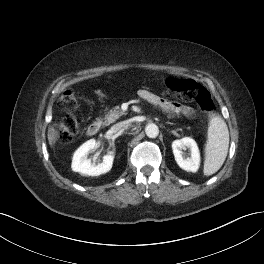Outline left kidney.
I'll list each match as a JSON object with an SVG mask.
<instances>
[{
    "label": "left kidney",
    "mask_w": 264,
    "mask_h": 264,
    "mask_svg": "<svg viewBox=\"0 0 264 264\" xmlns=\"http://www.w3.org/2000/svg\"><path fill=\"white\" fill-rule=\"evenodd\" d=\"M173 154L180 168L196 172L200 165V152L197 143L190 137L175 140L172 143ZM189 149L190 157H185L182 150Z\"/></svg>",
    "instance_id": "5707ae66"
}]
</instances>
